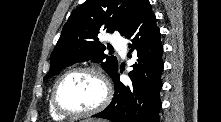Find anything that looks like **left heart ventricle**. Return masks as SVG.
<instances>
[{
	"label": "left heart ventricle",
	"mask_w": 221,
	"mask_h": 122,
	"mask_svg": "<svg viewBox=\"0 0 221 122\" xmlns=\"http://www.w3.org/2000/svg\"><path fill=\"white\" fill-rule=\"evenodd\" d=\"M104 95L101 81L89 73L67 77L58 90L59 103L71 111L89 110L100 103Z\"/></svg>",
	"instance_id": "left-heart-ventricle-1"
}]
</instances>
